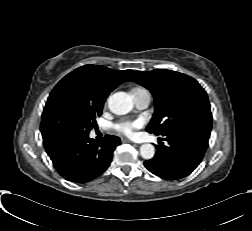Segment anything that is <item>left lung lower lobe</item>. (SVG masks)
<instances>
[{"label":"left lung lower lobe","mask_w":252,"mask_h":231,"mask_svg":"<svg viewBox=\"0 0 252 231\" xmlns=\"http://www.w3.org/2000/svg\"><path fill=\"white\" fill-rule=\"evenodd\" d=\"M211 127L188 124L168 131L151 160L144 162L153 174L167 180H177L189 175L201 162L208 147Z\"/></svg>","instance_id":"obj_1"}]
</instances>
